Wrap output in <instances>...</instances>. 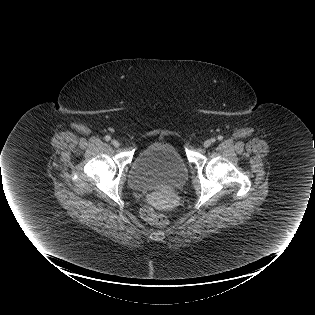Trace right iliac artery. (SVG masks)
<instances>
[{
    "instance_id": "82829eb1",
    "label": "right iliac artery",
    "mask_w": 315,
    "mask_h": 315,
    "mask_svg": "<svg viewBox=\"0 0 315 315\" xmlns=\"http://www.w3.org/2000/svg\"><path fill=\"white\" fill-rule=\"evenodd\" d=\"M106 141H110L111 140V137L109 135L105 136L104 138Z\"/></svg>"
}]
</instances>
